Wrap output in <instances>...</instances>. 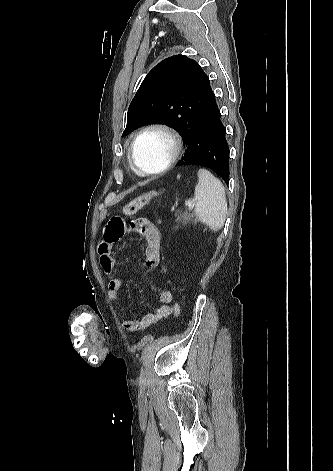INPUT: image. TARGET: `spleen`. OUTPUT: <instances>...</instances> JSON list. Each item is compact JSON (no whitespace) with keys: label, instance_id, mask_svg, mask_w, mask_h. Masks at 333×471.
Segmentation results:
<instances>
[{"label":"spleen","instance_id":"1","mask_svg":"<svg viewBox=\"0 0 333 471\" xmlns=\"http://www.w3.org/2000/svg\"><path fill=\"white\" fill-rule=\"evenodd\" d=\"M198 183L195 187V215L211 230L218 231L224 226L227 215V201L223 184L206 170H198Z\"/></svg>","mask_w":333,"mask_h":471}]
</instances>
